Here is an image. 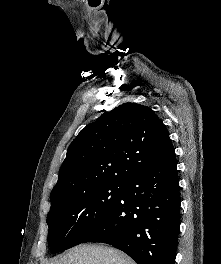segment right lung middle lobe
Here are the masks:
<instances>
[{"label": "right lung middle lobe", "mask_w": 221, "mask_h": 264, "mask_svg": "<svg viewBox=\"0 0 221 264\" xmlns=\"http://www.w3.org/2000/svg\"><path fill=\"white\" fill-rule=\"evenodd\" d=\"M124 189V182L103 184L75 193L47 215L48 243L52 253L81 243L111 212Z\"/></svg>", "instance_id": "1"}]
</instances>
